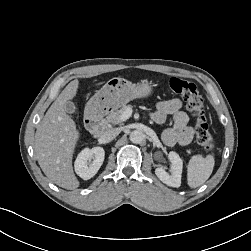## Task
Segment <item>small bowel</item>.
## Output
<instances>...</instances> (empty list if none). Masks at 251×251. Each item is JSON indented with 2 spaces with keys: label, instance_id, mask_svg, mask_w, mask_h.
I'll return each instance as SVG.
<instances>
[{
  "label": "small bowel",
  "instance_id": "c3829d8e",
  "mask_svg": "<svg viewBox=\"0 0 251 251\" xmlns=\"http://www.w3.org/2000/svg\"><path fill=\"white\" fill-rule=\"evenodd\" d=\"M169 116L172 119V127L163 132V142L167 146L189 144L193 139L194 130L188 124V116L182 110V102L179 99L159 102L156 111L152 114V119L157 124H163Z\"/></svg>",
  "mask_w": 251,
  "mask_h": 251
}]
</instances>
